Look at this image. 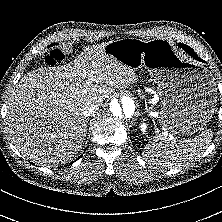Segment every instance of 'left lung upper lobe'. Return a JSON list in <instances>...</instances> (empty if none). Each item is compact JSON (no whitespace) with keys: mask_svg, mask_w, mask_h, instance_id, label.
I'll return each mask as SVG.
<instances>
[{"mask_svg":"<svg viewBox=\"0 0 222 222\" xmlns=\"http://www.w3.org/2000/svg\"><path fill=\"white\" fill-rule=\"evenodd\" d=\"M179 46L186 51H193V49L185 44H179Z\"/></svg>","mask_w":222,"mask_h":222,"instance_id":"5c2ea615","label":"left lung upper lobe"}]
</instances>
